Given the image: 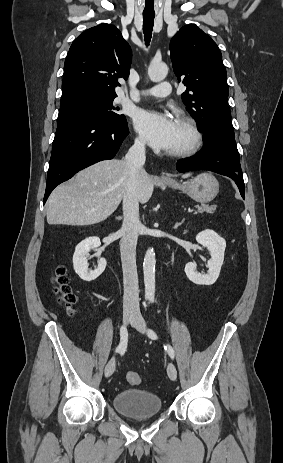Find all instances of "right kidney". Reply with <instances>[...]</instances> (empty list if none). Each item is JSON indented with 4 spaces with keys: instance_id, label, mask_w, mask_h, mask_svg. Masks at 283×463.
Wrapping results in <instances>:
<instances>
[{
    "instance_id": "obj_1",
    "label": "right kidney",
    "mask_w": 283,
    "mask_h": 463,
    "mask_svg": "<svg viewBox=\"0 0 283 463\" xmlns=\"http://www.w3.org/2000/svg\"><path fill=\"white\" fill-rule=\"evenodd\" d=\"M100 239L98 237H89L81 241L75 248L73 255V266L76 274L84 281H92L99 277L106 268L105 258H100L98 266L95 270L88 269L87 256L91 249L100 246Z\"/></svg>"
}]
</instances>
